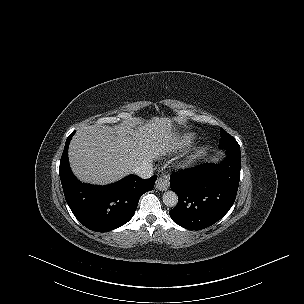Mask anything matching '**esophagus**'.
<instances>
[{"label": "esophagus", "mask_w": 304, "mask_h": 304, "mask_svg": "<svg viewBox=\"0 0 304 304\" xmlns=\"http://www.w3.org/2000/svg\"><path fill=\"white\" fill-rule=\"evenodd\" d=\"M169 187V182L166 178L164 177H159L157 180H156V183H155V188L157 190H160V191H166Z\"/></svg>", "instance_id": "34e87169"}]
</instances>
